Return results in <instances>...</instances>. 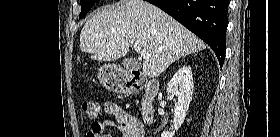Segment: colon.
Returning <instances> with one entry per match:
<instances>
[{
    "mask_svg": "<svg viewBox=\"0 0 280 137\" xmlns=\"http://www.w3.org/2000/svg\"><path fill=\"white\" fill-rule=\"evenodd\" d=\"M81 107H82V110L84 111V113H86L90 118H95L99 114L100 107H99V103L97 101L84 100L82 102ZM138 130H139V126L132 123L130 125V131H131L130 136L131 137L137 136Z\"/></svg>",
    "mask_w": 280,
    "mask_h": 137,
    "instance_id": "obj_1",
    "label": "colon"
}]
</instances>
